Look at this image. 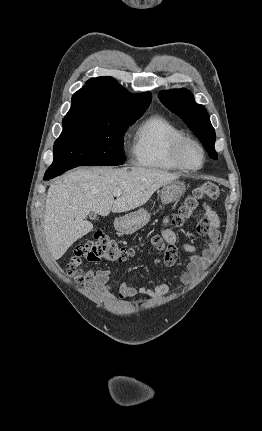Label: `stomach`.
<instances>
[{
    "label": "stomach",
    "instance_id": "1",
    "mask_svg": "<svg viewBox=\"0 0 262 431\" xmlns=\"http://www.w3.org/2000/svg\"><path fill=\"white\" fill-rule=\"evenodd\" d=\"M185 184L181 181L174 180L164 185L160 191V199L162 204H169L180 199L185 193ZM150 221V213L144 209L119 217L115 221V228L122 234H133L137 230L144 227Z\"/></svg>",
    "mask_w": 262,
    "mask_h": 431
}]
</instances>
